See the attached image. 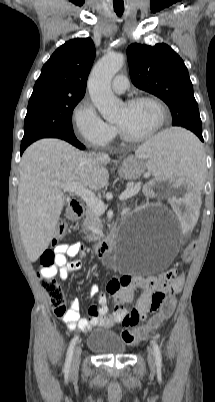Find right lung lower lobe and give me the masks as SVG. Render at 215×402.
Masks as SVG:
<instances>
[{
    "label": "right lung lower lobe",
    "mask_w": 215,
    "mask_h": 402,
    "mask_svg": "<svg viewBox=\"0 0 215 402\" xmlns=\"http://www.w3.org/2000/svg\"><path fill=\"white\" fill-rule=\"evenodd\" d=\"M64 140L68 141L69 143H71L72 145L76 146V147L79 148V149H82V150L85 149V146L82 145V144L76 139L75 135H74V136H71L70 138L64 139ZM27 146H29V145H21V149H20L21 154L24 152V150L27 148Z\"/></svg>",
    "instance_id": "obj_1"
}]
</instances>
